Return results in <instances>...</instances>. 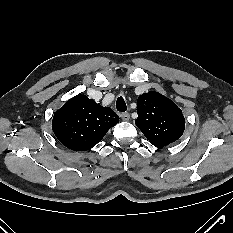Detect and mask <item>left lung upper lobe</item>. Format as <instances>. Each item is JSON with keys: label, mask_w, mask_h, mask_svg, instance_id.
<instances>
[{"label": "left lung upper lobe", "mask_w": 233, "mask_h": 233, "mask_svg": "<svg viewBox=\"0 0 233 233\" xmlns=\"http://www.w3.org/2000/svg\"><path fill=\"white\" fill-rule=\"evenodd\" d=\"M137 127L155 147L164 146L178 140L185 129V119L176 104L155 91L138 97Z\"/></svg>", "instance_id": "5c2ea615"}]
</instances>
